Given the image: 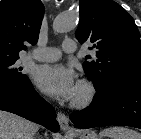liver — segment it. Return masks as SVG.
Returning a JSON list of instances; mask_svg holds the SVG:
<instances>
[{"mask_svg":"<svg viewBox=\"0 0 141 139\" xmlns=\"http://www.w3.org/2000/svg\"><path fill=\"white\" fill-rule=\"evenodd\" d=\"M39 125L0 110V139H33Z\"/></svg>","mask_w":141,"mask_h":139,"instance_id":"6515ba94","label":"liver"}]
</instances>
